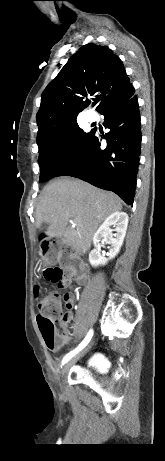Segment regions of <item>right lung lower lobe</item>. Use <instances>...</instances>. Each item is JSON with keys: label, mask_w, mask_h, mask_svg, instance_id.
<instances>
[{"label": "right lung lower lobe", "mask_w": 165, "mask_h": 461, "mask_svg": "<svg viewBox=\"0 0 165 461\" xmlns=\"http://www.w3.org/2000/svg\"><path fill=\"white\" fill-rule=\"evenodd\" d=\"M101 114L110 129L107 147L101 149L93 130L83 149L55 177L79 178L133 204L142 138L138 98L133 95Z\"/></svg>", "instance_id": "1"}]
</instances>
